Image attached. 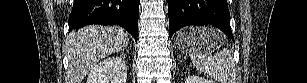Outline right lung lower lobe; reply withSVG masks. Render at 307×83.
Here are the masks:
<instances>
[{
    "label": "right lung lower lobe",
    "mask_w": 307,
    "mask_h": 83,
    "mask_svg": "<svg viewBox=\"0 0 307 83\" xmlns=\"http://www.w3.org/2000/svg\"><path fill=\"white\" fill-rule=\"evenodd\" d=\"M139 3L140 0H75L69 30L92 24H117L137 42Z\"/></svg>",
    "instance_id": "1"
}]
</instances>
